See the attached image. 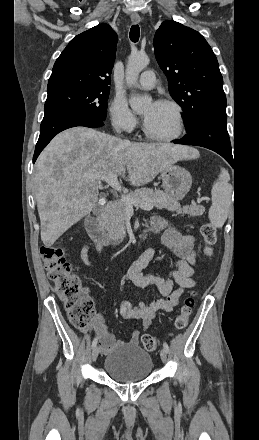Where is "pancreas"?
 Masks as SVG:
<instances>
[{"label": "pancreas", "instance_id": "obj_1", "mask_svg": "<svg viewBox=\"0 0 259 440\" xmlns=\"http://www.w3.org/2000/svg\"><path fill=\"white\" fill-rule=\"evenodd\" d=\"M142 202L151 203L157 209H167L175 211L178 214H188L190 216H200L205 212L202 205L191 204L181 208L180 203L172 196L162 190H153L150 188H141L127 194ZM129 206L122 200H116L112 206L107 209L104 228L109 235L114 238L124 237L126 234V214Z\"/></svg>", "mask_w": 259, "mask_h": 440}]
</instances>
